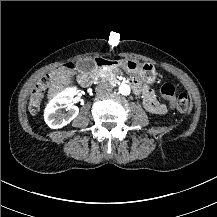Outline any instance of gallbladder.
Instances as JSON below:
<instances>
[{
	"label": "gallbladder",
	"instance_id": "obj_1",
	"mask_svg": "<svg viewBox=\"0 0 217 217\" xmlns=\"http://www.w3.org/2000/svg\"><path fill=\"white\" fill-rule=\"evenodd\" d=\"M95 62L93 60H82L79 62V68L83 71H88L90 69H94Z\"/></svg>",
	"mask_w": 217,
	"mask_h": 217
}]
</instances>
